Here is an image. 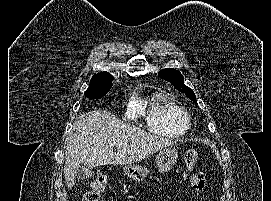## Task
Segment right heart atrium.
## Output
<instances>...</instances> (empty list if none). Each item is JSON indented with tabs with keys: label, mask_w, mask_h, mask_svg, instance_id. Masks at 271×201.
Returning <instances> with one entry per match:
<instances>
[{
	"label": "right heart atrium",
	"mask_w": 271,
	"mask_h": 201,
	"mask_svg": "<svg viewBox=\"0 0 271 201\" xmlns=\"http://www.w3.org/2000/svg\"><path fill=\"white\" fill-rule=\"evenodd\" d=\"M139 116H140L139 104L136 101L130 102L126 111V117L131 120H136L139 118Z\"/></svg>",
	"instance_id": "1"
}]
</instances>
